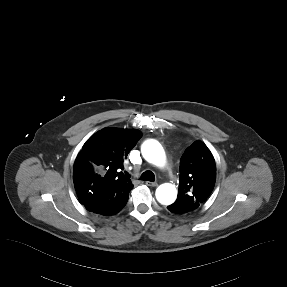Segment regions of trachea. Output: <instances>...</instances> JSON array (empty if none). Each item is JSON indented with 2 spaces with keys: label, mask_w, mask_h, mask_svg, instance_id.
Returning a JSON list of instances; mask_svg holds the SVG:
<instances>
[{
  "label": "trachea",
  "mask_w": 287,
  "mask_h": 287,
  "mask_svg": "<svg viewBox=\"0 0 287 287\" xmlns=\"http://www.w3.org/2000/svg\"><path fill=\"white\" fill-rule=\"evenodd\" d=\"M126 174L128 175V173ZM140 180L154 182L155 175L151 171H145L144 173H142Z\"/></svg>",
  "instance_id": "1"
}]
</instances>
